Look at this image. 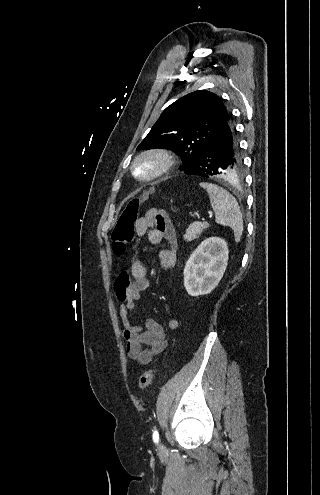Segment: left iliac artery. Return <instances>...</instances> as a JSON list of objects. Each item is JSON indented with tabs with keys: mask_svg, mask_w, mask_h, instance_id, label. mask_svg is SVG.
Instances as JSON below:
<instances>
[{
	"mask_svg": "<svg viewBox=\"0 0 320 495\" xmlns=\"http://www.w3.org/2000/svg\"><path fill=\"white\" fill-rule=\"evenodd\" d=\"M152 437H153V441H154L155 443H158V441H159V433H158V431H157V430H155V431L153 432V436H152Z\"/></svg>",
	"mask_w": 320,
	"mask_h": 495,
	"instance_id": "obj_1",
	"label": "left iliac artery"
}]
</instances>
